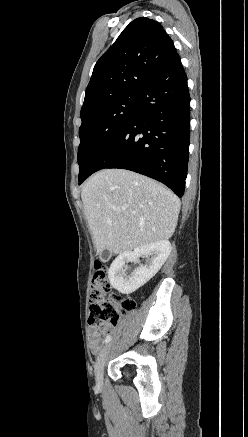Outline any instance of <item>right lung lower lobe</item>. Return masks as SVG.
<instances>
[{
    "mask_svg": "<svg viewBox=\"0 0 248 437\" xmlns=\"http://www.w3.org/2000/svg\"><path fill=\"white\" fill-rule=\"evenodd\" d=\"M190 96L179 55L136 97L121 130L95 157L81 184L104 168L131 170L182 197L188 166Z\"/></svg>",
    "mask_w": 248,
    "mask_h": 437,
    "instance_id": "1",
    "label": "right lung lower lobe"
}]
</instances>
